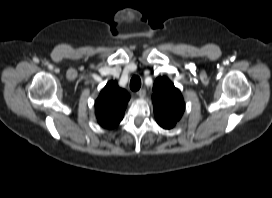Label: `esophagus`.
Listing matches in <instances>:
<instances>
[{
  "mask_svg": "<svg viewBox=\"0 0 272 198\" xmlns=\"http://www.w3.org/2000/svg\"><path fill=\"white\" fill-rule=\"evenodd\" d=\"M146 95V91L144 89H140L138 92H137V96L139 98H144Z\"/></svg>",
  "mask_w": 272,
  "mask_h": 198,
  "instance_id": "1",
  "label": "esophagus"
}]
</instances>
